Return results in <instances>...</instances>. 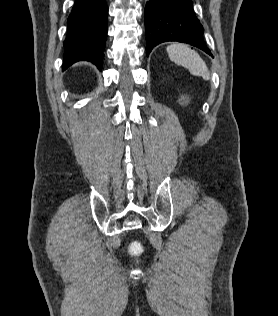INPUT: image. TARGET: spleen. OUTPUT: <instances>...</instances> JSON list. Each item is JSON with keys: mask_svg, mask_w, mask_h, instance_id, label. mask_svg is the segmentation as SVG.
<instances>
[{"mask_svg": "<svg viewBox=\"0 0 278 316\" xmlns=\"http://www.w3.org/2000/svg\"><path fill=\"white\" fill-rule=\"evenodd\" d=\"M167 53L171 61L189 69L191 74L210 79L208 68L200 55L188 45L175 43L167 47Z\"/></svg>", "mask_w": 278, "mask_h": 316, "instance_id": "obj_1", "label": "spleen"}]
</instances>
